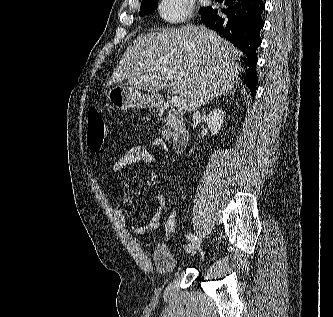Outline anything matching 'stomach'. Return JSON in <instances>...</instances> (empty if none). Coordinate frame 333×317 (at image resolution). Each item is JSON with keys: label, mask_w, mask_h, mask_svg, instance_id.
<instances>
[{"label": "stomach", "mask_w": 333, "mask_h": 317, "mask_svg": "<svg viewBox=\"0 0 333 317\" xmlns=\"http://www.w3.org/2000/svg\"><path fill=\"white\" fill-rule=\"evenodd\" d=\"M108 99L113 107L126 110L146 108L156 104L154 95H146L128 85H116L109 90Z\"/></svg>", "instance_id": "0dacf381"}]
</instances>
